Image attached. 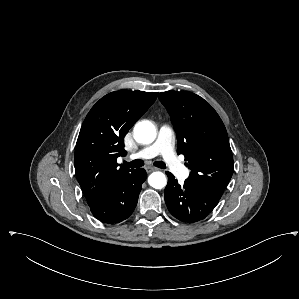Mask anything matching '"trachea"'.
I'll return each mask as SVG.
<instances>
[{
    "label": "trachea",
    "mask_w": 299,
    "mask_h": 299,
    "mask_svg": "<svg viewBox=\"0 0 299 299\" xmlns=\"http://www.w3.org/2000/svg\"><path fill=\"white\" fill-rule=\"evenodd\" d=\"M124 164L128 167H131V168H139V167H142L144 165V162L140 159H136V160H133L131 162L124 161ZM154 165L159 167V168H162V169L166 168L165 163L162 162V161H155Z\"/></svg>",
    "instance_id": "obj_1"
}]
</instances>
